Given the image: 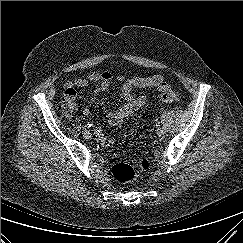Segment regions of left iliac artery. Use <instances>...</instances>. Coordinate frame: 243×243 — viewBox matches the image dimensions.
I'll list each match as a JSON object with an SVG mask.
<instances>
[{
    "label": "left iliac artery",
    "mask_w": 243,
    "mask_h": 243,
    "mask_svg": "<svg viewBox=\"0 0 243 243\" xmlns=\"http://www.w3.org/2000/svg\"><path fill=\"white\" fill-rule=\"evenodd\" d=\"M156 126H159V122L156 123Z\"/></svg>",
    "instance_id": "obj_1"
}]
</instances>
